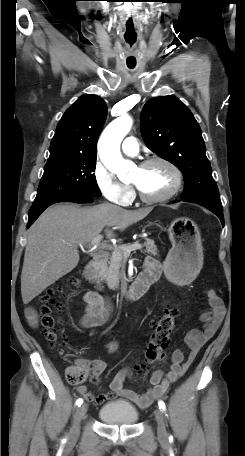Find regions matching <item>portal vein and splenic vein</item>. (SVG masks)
<instances>
[{"instance_id": "18ae733b", "label": "portal vein and splenic vein", "mask_w": 245, "mask_h": 456, "mask_svg": "<svg viewBox=\"0 0 245 456\" xmlns=\"http://www.w3.org/2000/svg\"><path fill=\"white\" fill-rule=\"evenodd\" d=\"M102 238L103 236L102 235H97L96 237H94L92 239V241L90 242V250H114L115 251V248L112 246V245H107V244H103L101 243L102 241ZM82 247V245H80ZM143 246L139 243H135V244H132L131 246L129 247H123V250H124V253H125V256H129L130 255V252L131 251H135V250H140L142 249Z\"/></svg>"}]
</instances>
